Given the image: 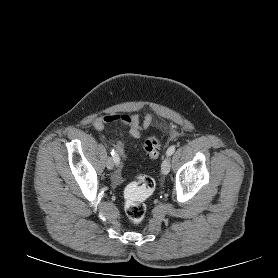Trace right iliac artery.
Segmentation results:
<instances>
[{"instance_id": "1", "label": "right iliac artery", "mask_w": 278, "mask_h": 278, "mask_svg": "<svg viewBox=\"0 0 278 278\" xmlns=\"http://www.w3.org/2000/svg\"><path fill=\"white\" fill-rule=\"evenodd\" d=\"M111 155L113 157L114 163H116V165H118L119 161H120V158H119L118 154L116 153V151L114 149L111 150Z\"/></svg>"}]
</instances>
